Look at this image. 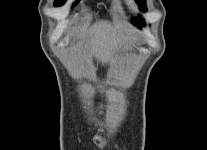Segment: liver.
<instances>
[{
  "label": "liver",
  "instance_id": "obj_1",
  "mask_svg": "<svg viewBox=\"0 0 207 150\" xmlns=\"http://www.w3.org/2000/svg\"><path fill=\"white\" fill-rule=\"evenodd\" d=\"M86 33L89 34L92 52L95 57L101 62H107L112 50L124 44V34H130L131 29L122 24L113 26L107 21H99L90 30L85 27L81 28L77 37L81 38Z\"/></svg>",
  "mask_w": 207,
  "mask_h": 150
}]
</instances>
